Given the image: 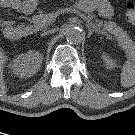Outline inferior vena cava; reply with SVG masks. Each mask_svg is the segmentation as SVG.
<instances>
[{
  "instance_id": "inferior-vena-cava-1",
  "label": "inferior vena cava",
  "mask_w": 135,
  "mask_h": 135,
  "mask_svg": "<svg viewBox=\"0 0 135 135\" xmlns=\"http://www.w3.org/2000/svg\"><path fill=\"white\" fill-rule=\"evenodd\" d=\"M54 31H55V29H54V30L45 31V32H43V33L41 34V36L48 35V34H50V33H53Z\"/></svg>"
}]
</instances>
